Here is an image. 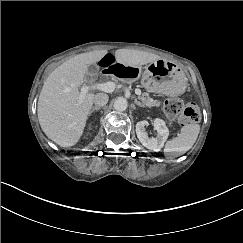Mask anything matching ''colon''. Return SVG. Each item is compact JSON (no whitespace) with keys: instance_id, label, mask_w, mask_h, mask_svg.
<instances>
[{"instance_id":"5ec220e1","label":"colon","mask_w":243,"mask_h":243,"mask_svg":"<svg viewBox=\"0 0 243 243\" xmlns=\"http://www.w3.org/2000/svg\"><path fill=\"white\" fill-rule=\"evenodd\" d=\"M164 113L171 119H179L183 125L196 123L200 119L199 108L193 104L185 105L180 98H170L164 103Z\"/></svg>"}]
</instances>
